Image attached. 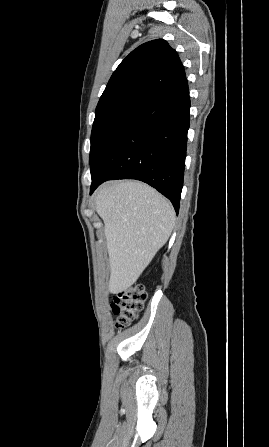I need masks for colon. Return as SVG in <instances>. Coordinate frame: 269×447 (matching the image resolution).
<instances>
[{"instance_id": "colon-1", "label": "colon", "mask_w": 269, "mask_h": 447, "mask_svg": "<svg viewBox=\"0 0 269 447\" xmlns=\"http://www.w3.org/2000/svg\"><path fill=\"white\" fill-rule=\"evenodd\" d=\"M145 290L141 285L120 290L111 302V311L116 316L115 326L124 328L134 323L143 309Z\"/></svg>"}]
</instances>
